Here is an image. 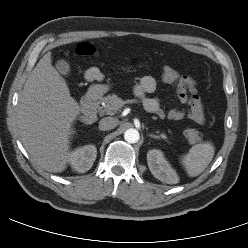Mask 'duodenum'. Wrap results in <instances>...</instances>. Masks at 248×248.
Returning a JSON list of instances; mask_svg holds the SVG:
<instances>
[{"label": "duodenum", "instance_id": "duodenum-1", "mask_svg": "<svg viewBox=\"0 0 248 248\" xmlns=\"http://www.w3.org/2000/svg\"><path fill=\"white\" fill-rule=\"evenodd\" d=\"M101 95L98 91H90L81 104V120L85 123L93 122L100 105Z\"/></svg>", "mask_w": 248, "mask_h": 248}]
</instances>
